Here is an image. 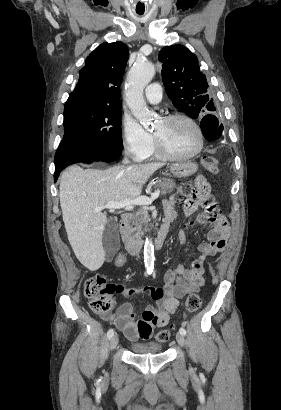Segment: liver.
Here are the masks:
<instances>
[{"mask_svg": "<svg viewBox=\"0 0 281 410\" xmlns=\"http://www.w3.org/2000/svg\"><path fill=\"white\" fill-rule=\"evenodd\" d=\"M164 165L147 163L107 170L72 165L63 172L59 188L62 217L74 254L87 269L96 271L105 261L102 236L108 219L94 209L139 197L143 185Z\"/></svg>", "mask_w": 281, "mask_h": 410, "instance_id": "obj_1", "label": "liver"}]
</instances>
